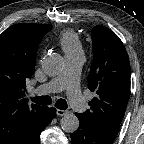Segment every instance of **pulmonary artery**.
<instances>
[{"label":"pulmonary artery","instance_id":"1","mask_svg":"<svg viewBox=\"0 0 144 144\" xmlns=\"http://www.w3.org/2000/svg\"><path fill=\"white\" fill-rule=\"evenodd\" d=\"M83 62L82 52L65 55V66L62 72L48 83L34 89L32 93L44 95L65 90L72 107L78 112L84 111L86 103L79 87V77Z\"/></svg>","mask_w":144,"mask_h":144}]
</instances>
